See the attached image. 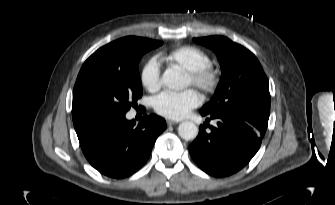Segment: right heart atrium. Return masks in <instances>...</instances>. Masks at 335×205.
I'll return each mask as SVG.
<instances>
[{
    "instance_id": "obj_1",
    "label": "right heart atrium",
    "mask_w": 335,
    "mask_h": 205,
    "mask_svg": "<svg viewBox=\"0 0 335 205\" xmlns=\"http://www.w3.org/2000/svg\"><path fill=\"white\" fill-rule=\"evenodd\" d=\"M142 85L150 92H155L161 85V64L157 57L150 58L140 74Z\"/></svg>"
}]
</instances>
